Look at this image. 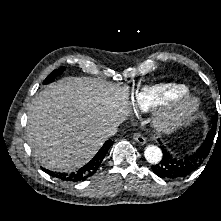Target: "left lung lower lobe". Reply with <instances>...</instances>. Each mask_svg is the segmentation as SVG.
<instances>
[{"mask_svg":"<svg viewBox=\"0 0 221 221\" xmlns=\"http://www.w3.org/2000/svg\"><path fill=\"white\" fill-rule=\"evenodd\" d=\"M203 146V145H202ZM209 146L196 152L179 156L163 149L162 159L159 163L152 166L156 175L165 179H177L193 173L204 161L209 153Z\"/></svg>","mask_w":221,"mask_h":221,"instance_id":"1","label":"left lung lower lobe"}]
</instances>
